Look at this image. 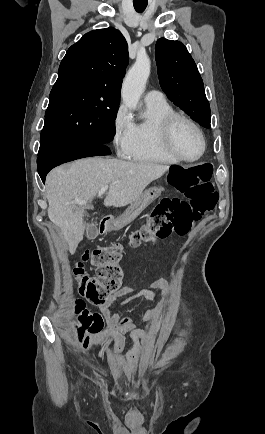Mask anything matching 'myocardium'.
<instances>
[{"label": "myocardium", "mask_w": 265, "mask_h": 434, "mask_svg": "<svg viewBox=\"0 0 265 434\" xmlns=\"http://www.w3.org/2000/svg\"><path fill=\"white\" fill-rule=\"evenodd\" d=\"M181 123L187 124L190 127H192L201 139L202 151L200 155L194 159H187L183 157L176 146L175 136L177 134V128ZM164 141L171 155L179 162L186 163V164H194L201 161L205 156L208 148L206 136L204 135L199 125L191 118L176 112L171 114L165 122Z\"/></svg>", "instance_id": "obj_1"}]
</instances>
